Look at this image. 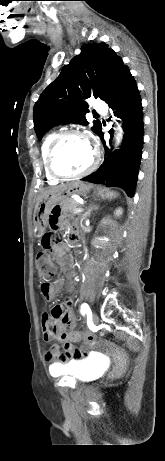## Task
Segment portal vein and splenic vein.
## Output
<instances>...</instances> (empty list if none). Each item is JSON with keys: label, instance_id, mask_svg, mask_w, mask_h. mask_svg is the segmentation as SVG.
Listing matches in <instances>:
<instances>
[{"label": "portal vein and splenic vein", "instance_id": "1", "mask_svg": "<svg viewBox=\"0 0 165 461\" xmlns=\"http://www.w3.org/2000/svg\"><path fill=\"white\" fill-rule=\"evenodd\" d=\"M77 202H79L80 204H83V201L82 200H78L77 199ZM83 209L81 207L77 208L74 212L77 213V212H81Z\"/></svg>", "mask_w": 165, "mask_h": 461}]
</instances>
